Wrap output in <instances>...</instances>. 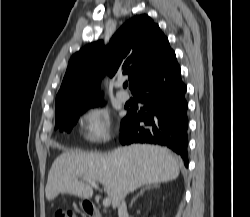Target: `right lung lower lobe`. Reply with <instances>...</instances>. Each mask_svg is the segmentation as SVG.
Returning <instances> with one entry per match:
<instances>
[{"mask_svg":"<svg viewBox=\"0 0 250 217\" xmlns=\"http://www.w3.org/2000/svg\"><path fill=\"white\" fill-rule=\"evenodd\" d=\"M186 85L175 54L166 64L132 93L144 106L128 111L121 126L120 142L160 144L171 148L188 166V103ZM143 124L144 126H140Z\"/></svg>","mask_w":250,"mask_h":217,"instance_id":"obj_1","label":"right lung lower lobe"}]
</instances>
